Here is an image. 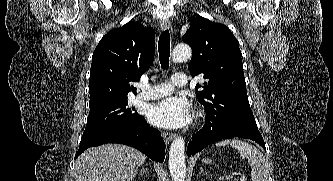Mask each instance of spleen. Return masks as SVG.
<instances>
[{
	"instance_id": "obj_1",
	"label": "spleen",
	"mask_w": 333,
	"mask_h": 181,
	"mask_svg": "<svg viewBox=\"0 0 333 181\" xmlns=\"http://www.w3.org/2000/svg\"><path fill=\"white\" fill-rule=\"evenodd\" d=\"M227 145L237 149L240 156L248 160V164L251 166L252 181H268L270 166L256 147L237 139L223 140L216 144V146Z\"/></svg>"
}]
</instances>
